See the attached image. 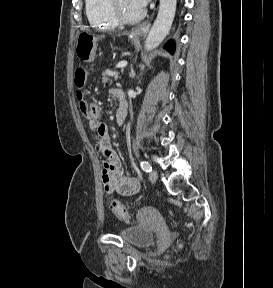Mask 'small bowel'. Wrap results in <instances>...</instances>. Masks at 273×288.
<instances>
[{"label":"small bowel","instance_id":"c3829d8e","mask_svg":"<svg viewBox=\"0 0 273 288\" xmlns=\"http://www.w3.org/2000/svg\"><path fill=\"white\" fill-rule=\"evenodd\" d=\"M116 89L111 90L115 95ZM89 128L99 141V150L102 156V183L107 193H118L122 196H132L140 189L139 181L121 171L119 159L110 144L107 125L94 120L89 122Z\"/></svg>","mask_w":273,"mask_h":288}]
</instances>
